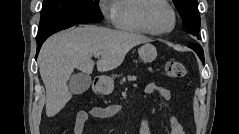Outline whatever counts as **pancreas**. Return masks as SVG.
I'll return each mask as SVG.
<instances>
[{
  "mask_svg": "<svg viewBox=\"0 0 239 134\" xmlns=\"http://www.w3.org/2000/svg\"><path fill=\"white\" fill-rule=\"evenodd\" d=\"M127 80H129V81H135V80H136V77H135V76H128V77H127ZM125 81H126V78H123V79L120 81V84H123Z\"/></svg>",
  "mask_w": 239,
  "mask_h": 134,
  "instance_id": "pancreas-1",
  "label": "pancreas"
}]
</instances>
